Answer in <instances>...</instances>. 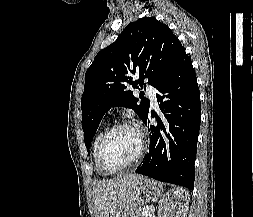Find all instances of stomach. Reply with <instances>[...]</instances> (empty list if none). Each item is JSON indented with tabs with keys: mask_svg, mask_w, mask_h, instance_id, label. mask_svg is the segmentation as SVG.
Returning <instances> with one entry per match:
<instances>
[{
	"mask_svg": "<svg viewBox=\"0 0 253 217\" xmlns=\"http://www.w3.org/2000/svg\"><path fill=\"white\" fill-rule=\"evenodd\" d=\"M162 193V185L152 179L144 177L133 189L131 202L123 210L120 217H133L148 202L157 199Z\"/></svg>",
	"mask_w": 253,
	"mask_h": 217,
	"instance_id": "0dacf381",
	"label": "stomach"
}]
</instances>
